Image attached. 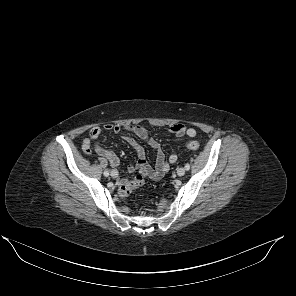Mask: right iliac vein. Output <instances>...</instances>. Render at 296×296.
Instances as JSON below:
<instances>
[{"instance_id":"obj_1","label":"right iliac vein","mask_w":296,"mask_h":296,"mask_svg":"<svg viewBox=\"0 0 296 296\" xmlns=\"http://www.w3.org/2000/svg\"><path fill=\"white\" fill-rule=\"evenodd\" d=\"M118 176V172L116 170L111 171V177L116 178Z\"/></svg>"}]
</instances>
